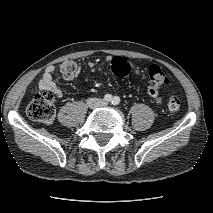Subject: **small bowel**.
Wrapping results in <instances>:
<instances>
[{
    "label": "small bowel",
    "instance_id": "obj_1",
    "mask_svg": "<svg viewBox=\"0 0 213 213\" xmlns=\"http://www.w3.org/2000/svg\"><path fill=\"white\" fill-rule=\"evenodd\" d=\"M112 58L107 57L104 60H102L99 65L100 66H105L106 64L111 63ZM130 64V63H129ZM130 66L133 69V72L136 76H141L142 71L137 67L134 66L133 64H130ZM88 67L92 70L95 71L97 64L95 62H89L88 63ZM54 72H55V66L53 65H49L45 68L42 78L39 82V87L41 90H47L52 92L56 97L60 98L62 97V90L60 89V87L57 85V83L54 81ZM75 77V76H74ZM147 94L153 98V100L155 101L156 104H160L161 103V95H160V91L158 88H155L153 86L148 87L147 89Z\"/></svg>",
    "mask_w": 213,
    "mask_h": 213
}]
</instances>
